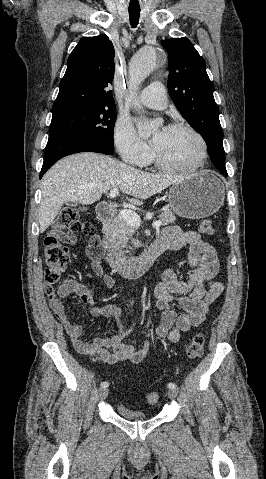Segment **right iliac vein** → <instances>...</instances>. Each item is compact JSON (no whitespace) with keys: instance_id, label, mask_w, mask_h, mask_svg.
I'll return each instance as SVG.
<instances>
[{"instance_id":"63e3f726","label":"right iliac vein","mask_w":266,"mask_h":479,"mask_svg":"<svg viewBox=\"0 0 266 479\" xmlns=\"http://www.w3.org/2000/svg\"><path fill=\"white\" fill-rule=\"evenodd\" d=\"M108 388H101L100 391H99V396H100V399H105L108 395Z\"/></svg>"}]
</instances>
